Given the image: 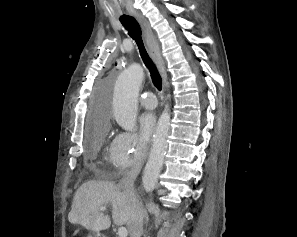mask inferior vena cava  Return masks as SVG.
Returning a JSON list of instances; mask_svg holds the SVG:
<instances>
[{
	"label": "inferior vena cava",
	"mask_w": 297,
	"mask_h": 237,
	"mask_svg": "<svg viewBox=\"0 0 297 237\" xmlns=\"http://www.w3.org/2000/svg\"><path fill=\"white\" fill-rule=\"evenodd\" d=\"M139 167L135 166L125 173L118 186L123 190L129 203V220L127 223L130 237H141L143 233V218L146 211L142 202L134 192V182L139 174Z\"/></svg>",
	"instance_id": "inferior-vena-cava-1"
}]
</instances>
